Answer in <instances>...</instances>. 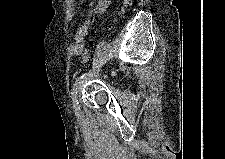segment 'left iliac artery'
Returning <instances> with one entry per match:
<instances>
[{
    "instance_id": "44dca946",
    "label": "left iliac artery",
    "mask_w": 225,
    "mask_h": 159,
    "mask_svg": "<svg viewBox=\"0 0 225 159\" xmlns=\"http://www.w3.org/2000/svg\"><path fill=\"white\" fill-rule=\"evenodd\" d=\"M87 73H84L82 74L80 77H78V79L75 81V83L73 84L72 86V89H71V97H72V100L73 102L76 101L77 103V93H78V88H79V85L80 83L83 81V79L85 78ZM78 104V103H77ZM73 107H75V105L73 104ZM75 110H78L75 109Z\"/></svg>"
}]
</instances>
